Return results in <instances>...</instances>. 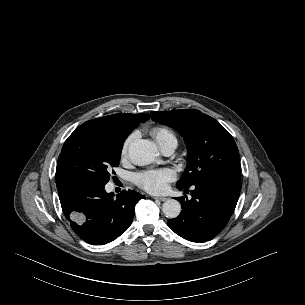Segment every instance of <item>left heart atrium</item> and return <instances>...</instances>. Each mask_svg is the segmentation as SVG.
I'll return each instance as SVG.
<instances>
[{
	"label": "left heart atrium",
	"mask_w": 305,
	"mask_h": 305,
	"mask_svg": "<svg viewBox=\"0 0 305 305\" xmlns=\"http://www.w3.org/2000/svg\"><path fill=\"white\" fill-rule=\"evenodd\" d=\"M175 174L170 169L149 170L135 176V182L150 193H161L166 190Z\"/></svg>",
	"instance_id": "obj_1"
}]
</instances>
